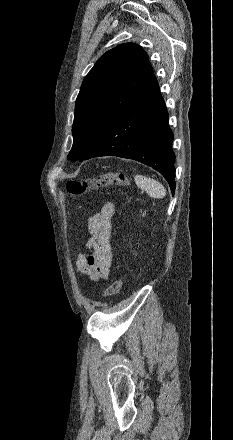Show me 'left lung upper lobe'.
I'll use <instances>...</instances> for the list:
<instances>
[{"label":"left lung upper lobe","mask_w":233,"mask_h":440,"mask_svg":"<svg viewBox=\"0 0 233 440\" xmlns=\"http://www.w3.org/2000/svg\"><path fill=\"white\" fill-rule=\"evenodd\" d=\"M153 75L147 53L133 43L101 56L84 78L76 99L70 160H84L112 122Z\"/></svg>","instance_id":"5c2ea615"}]
</instances>
